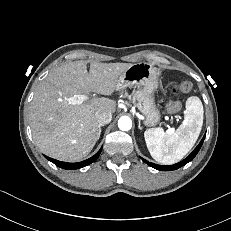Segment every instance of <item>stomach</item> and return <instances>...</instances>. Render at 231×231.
<instances>
[{
	"mask_svg": "<svg viewBox=\"0 0 231 231\" xmlns=\"http://www.w3.org/2000/svg\"><path fill=\"white\" fill-rule=\"evenodd\" d=\"M131 87L133 103L144 116L146 126H156L161 119V114L154 102V92L158 88L156 69L146 62L132 64L119 76L117 89Z\"/></svg>",
	"mask_w": 231,
	"mask_h": 231,
	"instance_id": "obj_1",
	"label": "stomach"
}]
</instances>
